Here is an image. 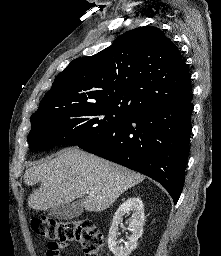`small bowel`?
<instances>
[{
    "label": "small bowel",
    "mask_w": 221,
    "mask_h": 256,
    "mask_svg": "<svg viewBox=\"0 0 221 256\" xmlns=\"http://www.w3.org/2000/svg\"><path fill=\"white\" fill-rule=\"evenodd\" d=\"M46 255H47V256H60V254H58V255L50 254L49 251H47V254H46Z\"/></svg>",
    "instance_id": "c3829d8e"
}]
</instances>
